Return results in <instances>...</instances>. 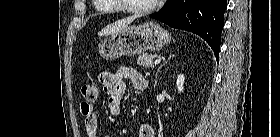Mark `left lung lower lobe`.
I'll list each match as a JSON object with an SVG mask.
<instances>
[{
	"mask_svg": "<svg viewBox=\"0 0 280 137\" xmlns=\"http://www.w3.org/2000/svg\"><path fill=\"white\" fill-rule=\"evenodd\" d=\"M227 0H168L151 18L201 36L219 59Z\"/></svg>",
	"mask_w": 280,
	"mask_h": 137,
	"instance_id": "obj_1",
	"label": "left lung lower lobe"
}]
</instances>
